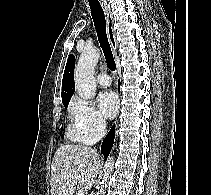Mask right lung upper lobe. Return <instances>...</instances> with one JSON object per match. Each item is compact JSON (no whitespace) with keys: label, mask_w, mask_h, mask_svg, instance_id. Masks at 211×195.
Instances as JSON below:
<instances>
[{"label":"right lung upper lobe","mask_w":211,"mask_h":195,"mask_svg":"<svg viewBox=\"0 0 211 195\" xmlns=\"http://www.w3.org/2000/svg\"><path fill=\"white\" fill-rule=\"evenodd\" d=\"M75 57L71 54L67 60L62 80V102H69L75 91L74 84Z\"/></svg>","instance_id":"1"}]
</instances>
